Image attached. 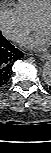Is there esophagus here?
Instances as JSON below:
<instances>
[{"label":"esophagus","mask_w":51,"mask_h":153,"mask_svg":"<svg viewBox=\"0 0 51 153\" xmlns=\"http://www.w3.org/2000/svg\"><path fill=\"white\" fill-rule=\"evenodd\" d=\"M40 57H41L42 59L48 60V59H50V54H48V53H43V54L40 55Z\"/></svg>","instance_id":"esophagus-1"}]
</instances>
